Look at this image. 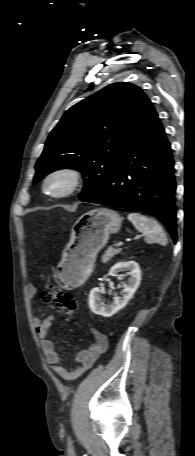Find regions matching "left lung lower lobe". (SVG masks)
Wrapping results in <instances>:
<instances>
[{
  "label": "left lung lower lobe",
  "instance_id": "obj_1",
  "mask_svg": "<svg viewBox=\"0 0 195 456\" xmlns=\"http://www.w3.org/2000/svg\"><path fill=\"white\" fill-rule=\"evenodd\" d=\"M170 143L154 107L132 132L101 187L83 202L152 215L177 241L176 182Z\"/></svg>",
  "mask_w": 195,
  "mask_h": 456
}]
</instances>
